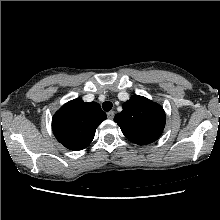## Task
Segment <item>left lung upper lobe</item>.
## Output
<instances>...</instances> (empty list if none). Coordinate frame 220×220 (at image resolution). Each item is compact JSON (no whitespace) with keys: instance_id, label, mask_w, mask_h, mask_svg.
<instances>
[{"instance_id":"left-lung-upper-lobe-1","label":"left lung upper lobe","mask_w":220,"mask_h":220,"mask_svg":"<svg viewBox=\"0 0 220 220\" xmlns=\"http://www.w3.org/2000/svg\"><path fill=\"white\" fill-rule=\"evenodd\" d=\"M122 108L114 121L127 139L138 145H146L160 137L165 126V112L159 104L133 95Z\"/></svg>"}]
</instances>
